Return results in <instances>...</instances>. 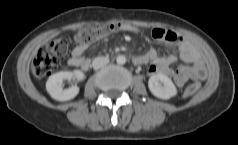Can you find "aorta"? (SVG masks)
Returning <instances> with one entry per match:
<instances>
[{"instance_id": "aorta-1", "label": "aorta", "mask_w": 238, "mask_h": 145, "mask_svg": "<svg viewBox=\"0 0 238 145\" xmlns=\"http://www.w3.org/2000/svg\"><path fill=\"white\" fill-rule=\"evenodd\" d=\"M116 62L120 65H123L126 63V57L124 55H118L116 58Z\"/></svg>"}]
</instances>
